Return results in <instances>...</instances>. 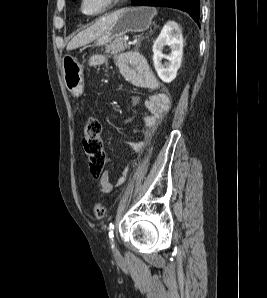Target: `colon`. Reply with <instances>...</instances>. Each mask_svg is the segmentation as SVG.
I'll use <instances>...</instances> for the list:
<instances>
[{
	"label": "colon",
	"instance_id": "colon-1",
	"mask_svg": "<svg viewBox=\"0 0 267 298\" xmlns=\"http://www.w3.org/2000/svg\"><path fill=\"white\" fill-rule=\"evenodd\" d=\"M83 146L89 160L91 175L94 178L100 177L107 161L104 144L101 137V125L95 118H89L84 126ZM97 219H103L106 208L102 203H97L93 209Z\"/></svg>",
	"mask_w": 267,
	"mask_h": 298
}]
</instances>
